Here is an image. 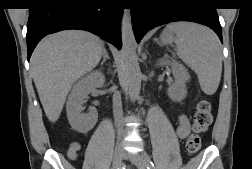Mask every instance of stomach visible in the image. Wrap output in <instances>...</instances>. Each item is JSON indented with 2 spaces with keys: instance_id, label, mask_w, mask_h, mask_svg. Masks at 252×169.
Listing matches in <instances>:
<instances>
[{
  "instance_id": "1",
  "label": "stomach",
  "mask_w": 252,
  "mask_h": 169,
  "mask_svg": "<svg viewBox=\"0 0 252 169\" xmlns=\"http://www.w3.org/2000/svg\"><path fill=\"white\" fill-rule=\"evenodd\" d=\"M160 39L163 44H170L176 42L177 36L175 30L168 26L161 34Z\"/></svg>"
}]
</instances>
